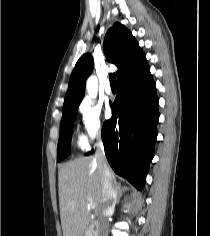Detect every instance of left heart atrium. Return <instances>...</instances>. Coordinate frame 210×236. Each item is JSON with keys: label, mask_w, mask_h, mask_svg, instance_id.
<instances>
[{"label": "left heart atrium", "mask_w": 210, "mask_h": 236, "mask_svg": "<svg viewBox=\"0 0 210 236\" xmlns=\"http://www.w3.org/2000/svg\"><path fill=\"white\" fill-rule=\"evenodd\" d=\"M106 116H107V117L110 116V109H109V108L106 109Z\"/></svg>", "instance_id": "39dd6f15"}]
</instances>
